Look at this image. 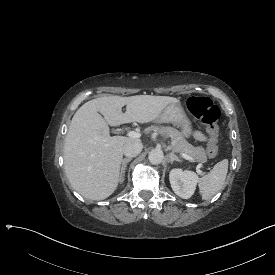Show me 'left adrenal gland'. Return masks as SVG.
Here are the masks:
<instances>
[{
    "label": "left adrenal gland",
    "mask_w": 275,
    "mask_h": 275,
    "mask_svg": "<svg viewBox=\"0 0 275 275\" xmlns=\"http://www.w3.org/2000/svg\"><path fill=\"white\" fill-rule=\"evenodd\" d=\"M167 157H168V161H169L171 164H173L174 161L181 162V160H180L176 155H174L173 153H169V154L167 155Z\"/></svg>",
    "instance_id": "obj_1"
}]
</instances>
